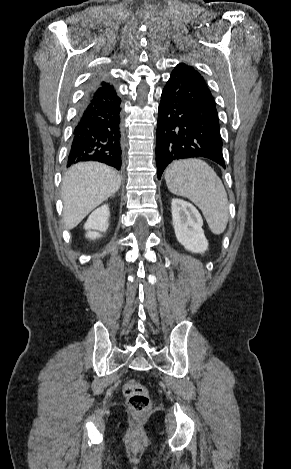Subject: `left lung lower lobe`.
Wrapping results in <instances>:
<instances>
[{"label": "left lung lower lobe", "mask_w": 291, "mask_h": 469, "mask_svg": "<svg viewBox=\"0 0 291 469\" xmlns=\"http://www.w3.org/2000/svg\"><path fill=\"white\" fill-rule=\"evenodd\" d=\"M156 135L158 179L173 160L208 158L225 168L216 105L210 90L181 68L167 81Z\"/></svg>", "instance_id": "1"}]
</instances>
